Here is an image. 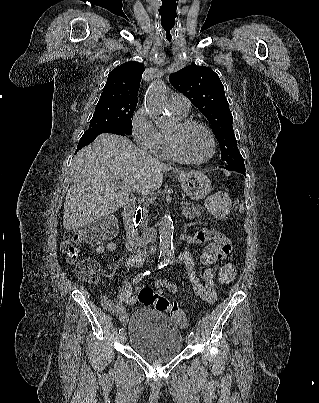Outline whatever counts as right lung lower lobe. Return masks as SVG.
<instances>
[{"instance_id":"obj_1","label":"right lung lower lobe","mask_w":319,"mask_h":403,"mask_svg":"<svg viewBox=\"0 0 319 403\" xmlns=\"http://www.w3.org/2000/svg\"><path fill=\"white\" fill-rule=\"evenodd\" d=\"M114 133L118 135H125L129 134L126 132L124 129L118 128V127H102V128H90L88 129L83 136L81 137L77 150L81 149L82 147L90 144L95 140V138L102 134V133Z\"/></svg>"}]
</instances>
